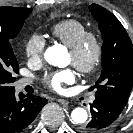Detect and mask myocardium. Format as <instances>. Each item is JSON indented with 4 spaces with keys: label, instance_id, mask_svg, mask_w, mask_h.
Listing matches in <instances>:
<instances>
[{
    "label": "myocardium",
    "instance_id": "obj_1",
    "mask_svg": "<svg viewBox=\"0 0 133 133\" xmlns=\"http://www.w3.org/2000/svg\"><path fill=\"white\" fill-rule=\"evenodd\" d=\"M91 44L93 55L88 61L81 59L86 47ZM69 52L76 58L74 67L83 74L94 73L101 64L103 57V44L100 35L92 30L85 31L77 41L69 47Z\"/></svg>",
    "mask_w": 133,
    "mask_h": 133
}]
</instances>
